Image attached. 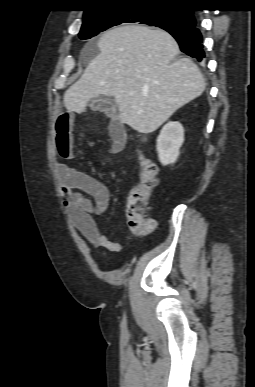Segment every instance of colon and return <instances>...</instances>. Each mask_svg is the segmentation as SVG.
<instances>
[{
	"label": "colon",
	"instance_id": "obj_1",
	"mask_svg": "<svg viewBox=\"0 0 255 387\" xmlns=\"http://www.w3.org/2000/svg\"><path fill=\"white\" fill-rule=\"evenodd\" d=\"M140 165V181L133 187L126 199V216L131 230L145 236L154 231L156 223L147 217L146 207L157 186V167L141 151H137Z\"/></svg>",
	"mask_w": 255,
	"mask_h": 387
}]
</instances>
